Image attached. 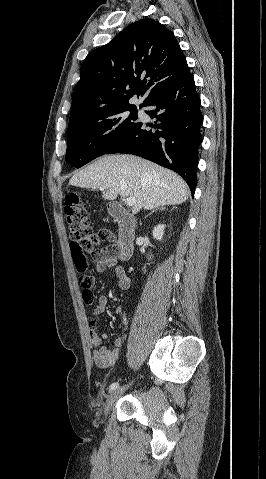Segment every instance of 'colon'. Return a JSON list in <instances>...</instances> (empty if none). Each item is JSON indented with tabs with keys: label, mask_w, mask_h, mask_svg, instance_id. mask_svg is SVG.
<instances>
[{
	"label": "colon",
	"mask_w": 266,
	"mask_h": 479,
	"mask_svg": "<svg viewBox=\"0 0 266 479\" xmlns=\"http://www.w3.org/2000/svg\"><path fill=\"white\" fill-rule=\"evenodd\" d=\"M66 224L71 238L70 248L72 251L75 269L78 273V283L82 290V297L86 304L91 305L95 301L93 292V277L85 273L87 267V254L92 253L97 246L105 240L111 239L107 230L94 233L89 228L88 211L79 196L71 193L65 201ZM114 249V246H110Z\"/></svg>",
	"instance_id": "1"
}]
</instances>
